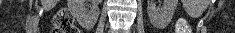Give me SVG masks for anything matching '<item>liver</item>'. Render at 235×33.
Returning <instances> with one entry per match:
<instances>
[{"instance_id":"1","label":"liver","mask_w":235,"mask_h":33,"mask_svg":"<svg viewBox=\"0 0 235 33\" xmlns=\"http://www.w3.org/2000/svg\"><path fill=\"white\" fill-rule=\"evenodd\" d=\"M56 3L57 1H54V0H42L41 1V4L45 8L46 11L52 9Z\"/></svg>"}]
</instances>
